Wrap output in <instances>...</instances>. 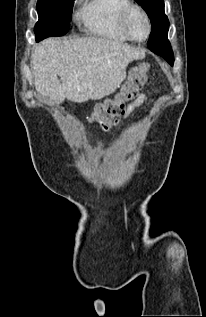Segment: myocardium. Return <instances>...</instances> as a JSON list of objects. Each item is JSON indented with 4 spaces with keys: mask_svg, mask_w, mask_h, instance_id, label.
I'll use <instances>...</instances> for the list:
<instances>
[{
    "mask_svg": "<svg viewBox=\"0 0 206 317\" xmlns=\"http://www.w3.org/2000/svg\"><path fill=\"white\" fill-rule=\"evenodd\" d=\"M134 10H138L139 12H141V14L143 15V17L146 21L147 33L143 39H137V38L133 37L132 34L130 33L128 27H127L128 18L130 16V14L132 13V11H134ZM119 28H120L121 32L131 41H134V42L146 41L151 34V20H150L148 12L146 11V9L143 6L136 4V3H130L128 6H126L122 10V12L120 14Z\"/></svg>",
    "mask_w": 206,
    "mask_h": 317,
    "instance_id": "myocardium-1",
    "label": "myocardium"
}]
</instances>
